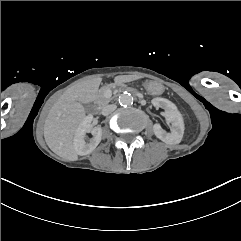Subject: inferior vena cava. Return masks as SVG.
<instances>
[{"instance_id":"1","label":"inferior vena cava","mask_w":241,"mask_h":241,"mask_svg":"<svg viewBox=\"0 0 241 241\" xmlns=\"http://www.w3.org/2000/svg\"><path fill=\"white\" fill-rule=\"evenodd\" d=\"M116 108H117V106L115 104H109L102 108L101 113L103 116H107V115L111 114L113 111H115Z\"/></svg>"}]
</instances>
